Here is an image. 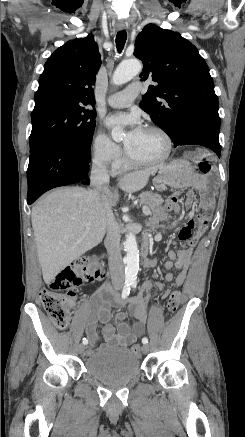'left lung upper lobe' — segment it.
<instances>
[{
  "label": "left lung upper lobe",
  "mask_w": 245,
  "mask_h": 437,
  "mask_svg": "<svg viewBox=\"0 0 245 437\" xmlns=\"http://www.w3.org/2000/svg\"><path fill=\"white\" fill-rule=\"evenodd\" d=\"M134 55L144 65L141 80L156 82L140 107L174 144L194 124L220 129L213 79L193 44L177 32L148 24L136 38Z\"/></svg>",
  "instance_id": "left-lung-upper-lobe-1"
}]
</instances>
